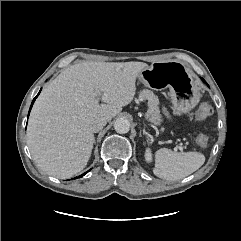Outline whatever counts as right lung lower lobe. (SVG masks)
Instances as JSON below:
<instances>
[{
	"label": "right lung lower lobe",
	"instance_id": "1",
	"mask_svg": "<svg viewBox=\"0 0 241 241\" xmlns=\"http://www.w3.org/2000/svg\"><path fill=\"white\" fill-rule=\"evenodd\" d=\"M40 94V92L38 93V95ZM37 95V96H38ZM37 96L33 99V101H32V104H31V106H30V110H31V108H32V105H33V103H34V101H35V99L37 98ZM30 110H29V112H30ZM84 175V174H83ZM83 175H81L80 177H82Z\"/></svg>",
	"mask_w": 241,
	"mask_h": 241
}]
</instances>
